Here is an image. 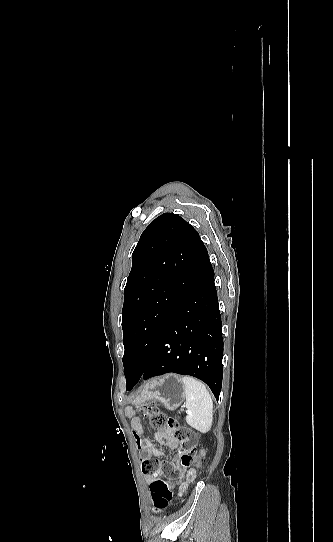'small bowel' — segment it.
<instances>
[{
  "label": "small bowel",
  "mask_w": 333,
  "mask_h": 542,
  "mask_svg": "<svg viewBox=\"0 0 333 542\" xmlns=\"http://www.w3.org/2000/svg\"><path fill=\"white\" fill-rule=\"evenodd\" d=\"M132 429L135 434L138 447L144 452L141 455V460L144 463H149L152 460V457H160L164 455L163 450L155 447L150 438L144 436V426L140 418L135 417L132 419ZM153 437L159 444L167 446L170 449L177 450L178 453L174 457V463L176 467L181 471L182 475L186 474L188 478H194V472H187L181 464V458L184 455V452L180 451L179 443L159 432L153 433ZM146 481L148 483H162L169 486L170 488H172L174 485L172 481L159 476H149L147 477Z\"/></svg>",
  "instance_id": "small-bowel-1"
}]
</instances>
